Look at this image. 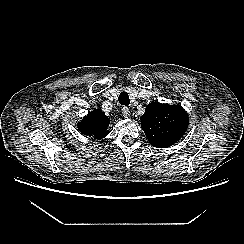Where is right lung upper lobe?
<instances>
[{
  "mask_svg": "<svg viewBox=\"0 0 244 244\" xmlns=\"http://www.w3.org/2000/svg\"><path fill=\"white\" fill-rule=\"evenodd\" d=\"M109 123V118L102 111L95 109L78 123V129L84 135L102 139L109 133Z\"/></svg>",
  "mask_w": 244,
  "mask_h": 244,
  "instance_id": "right-lung-upper-lobe-1",
  "label": "right lung upper lobe"
}]
</instances>
